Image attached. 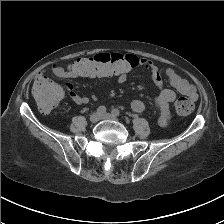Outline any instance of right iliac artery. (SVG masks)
<instances>
[{
	"label": "right iliac artery",
	"instance_id": "right-iliac-artery-1",
	"mask_svg": "<svg viewBox=\"0 0 224 224\" xmlns=\"http://www.w3.org/2000/svg\"><path fill=\"white\" fill-rule=\"evenodd\" d=\"M97 112L102 115L106 112V107L105 106H99L97 109Z\"/></svg>",
	"mask_w": 224,
	"mask_h": 224
}]
</instances>
